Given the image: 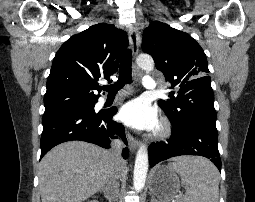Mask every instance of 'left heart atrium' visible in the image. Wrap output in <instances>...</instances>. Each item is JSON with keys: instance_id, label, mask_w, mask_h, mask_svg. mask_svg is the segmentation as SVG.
Returning a JSON list of instances; mask_svg holds the SVG:
<instances>
[{"instance_id": "39dd6f15", "label": "left heart atrium", "mask_w": 255, "mask_h": 202, "mask_svg": "<svg viewBox=\"0 0 255 202\" xmlns=\"http://www.w3.org/2000/svg\"><path fill=\"white\" fill-rule=\"evenodd\" d=\"M119 117L126 125L138 130H153L158 126L157 111L144 99H135L123 105Z\"/></svg>"}]
</instances>
